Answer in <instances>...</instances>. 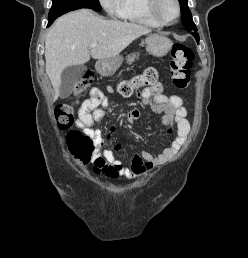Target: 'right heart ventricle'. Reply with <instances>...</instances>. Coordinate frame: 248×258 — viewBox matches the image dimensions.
I'll return each instance as SVG.
<instances>
[{"instance_id":"1","label":"right heart ventricle","mask_w":248,"mask_h":258,"mask_svg":"<svg viewBox=\"0 0 248 258\" xmlns=\"http://www.w3.org/2000/svg\"><path fill=\"white\" fill-rule=\"evenodd\" d=\"M120 17L126 21L149 27L160 25L151 18L147 10V0H124Z\"/></svg>"}]
</instances>
